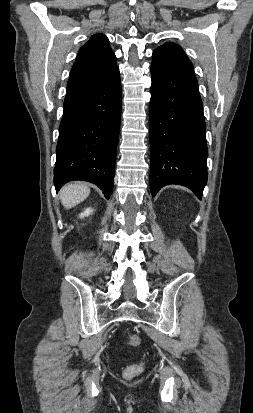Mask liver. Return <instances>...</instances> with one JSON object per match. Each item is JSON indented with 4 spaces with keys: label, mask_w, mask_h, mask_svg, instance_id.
Instances as JSON below:
<instances>
[{
    "label": "liver",
    "mask_w": 253,
    "mask_h": 413,
    "mask_svg": "<svg viewBox=\"0 0 253 413\" xmlns=\"http://www.w3.org/2000/svg\"><path fill=\"white\" fill-rule=\"evenodd\" d=\"M89 193L90 190L87 185L82 183H70L61 189L59 195L63 206L66 209H70L84 201Z\"/></svg>",
    "instance_id": "1"
}]
</instances>
